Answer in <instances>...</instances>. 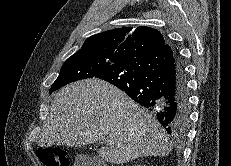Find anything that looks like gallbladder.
Segmentation results:
<instances>
[{
  "label": "gallbladder",
  "mask_w": 231,
  "mask_h": 166,
  "mask_svg": "<svg viewBox=\"0 0 231 166\" xmlns=\"http://www.w3.org/2000/svg\"><path fill=\"white\" fill-rule=\"evenodd\" d=\"M91 163V159L85 156H77L75 160V166H89Z\"/></svg>",
  "instance_id": "gallbladder-1"
}]
</instances>
